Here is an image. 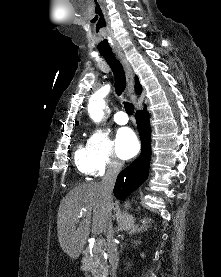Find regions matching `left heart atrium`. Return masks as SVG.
<instances>
[{"instance_id":"1","label":"left heart atrium","mask_w":221,"mask_h":277,"mask_svg":"<svg viewBox=\"0 0 221 277\" xmlns=\"http://www.w3.org/2000/svg\"><path fill=\"white\" fill-rule=\"evenodd\" d=\"M116 149L123 159H129L139 151V141L136 134L129 128L120 129L116 135Z\"/></svg>"}]
</instances>
